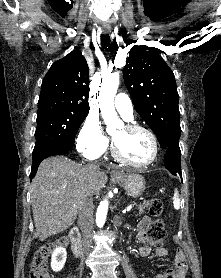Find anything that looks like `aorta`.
Here are the masks:
<instances>
[{"label": "aorta", "mask_w": 221, "mask_h": 278, "mask_svg": "<svg viewBox=\"0 0 221 278\" xmlns=\"http://www.w3.org/2000/svg\"><path fill=\"white\" fill-rule=\"evenodd\" d=\"M119 85V74L117 72L108 74L103 77L102 84L99 93V106L102 117L106 123L110 119H117V114L114 107V98ZM108 200L100 202L96 212V224L98 227H103L107 211H108Z\"/></svg>", "instance_id": "obj_1"}]
</instances>
